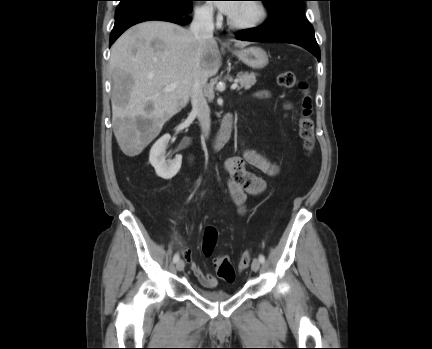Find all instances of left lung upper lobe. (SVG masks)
<instances>
[{
    "instance_id": "5c2ea615",
    "label": "left lung upper lobe",
    "mask_w": 432,
    "mask_h": 349,
    "mask_svg": "<svg viewBox=\"0 0 432 349\" xmlns=\"http://www.w3.org/2000/svg\"><path fill=\"white\" fill-rule=\"evenodd\" d=\"M265 3L271 19L283 18H302L304 15V4L306 0H261Z\"/></svg>"
}]
</instances>
